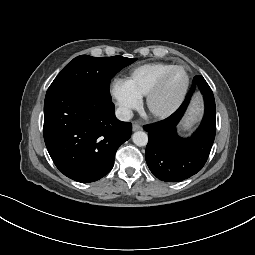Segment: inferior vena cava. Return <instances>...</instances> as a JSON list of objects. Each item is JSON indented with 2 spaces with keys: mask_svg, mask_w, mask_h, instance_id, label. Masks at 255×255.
I'll use <instances>...</instances> for the list:
<instances>
[{
  "mask_svg": "<svg viewBox=\"0 0 255 255\" xmlns=\"http://www.w3.org/2000/svg\"><path fill=\"white\" fill-rule=\"evenodd\" d=\"M115 115L120 121H129L133 117V112L127 108H118Z\"/></svg>",
  "mask_w": 255,
  "mask_h": 255,
  "instance_id": "602c4592",
  "label": "inferior vena cava"
}]
</instances>
